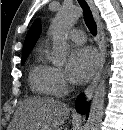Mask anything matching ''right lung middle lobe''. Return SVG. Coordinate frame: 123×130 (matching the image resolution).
<instances>
[{"instance_id":"right-lung-middle-lobe-1","label":"right lung middle lobe","mask_w":123,"mask_h":130,"mask_svg":"<svg viewBox=\"0 0 123 130\" xmlns=\"http://www.w3.org/2000/svg\"><path fill=\"white\" fill-rule=\"evenodd\" d=\"M27 57H28V55H26V56H22V65L25 63Z\"/></svg>"}]
</instances>
